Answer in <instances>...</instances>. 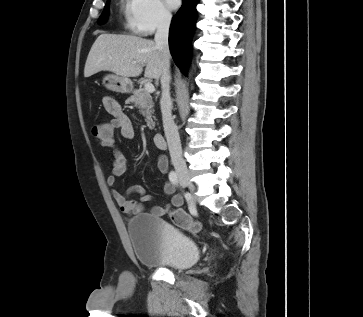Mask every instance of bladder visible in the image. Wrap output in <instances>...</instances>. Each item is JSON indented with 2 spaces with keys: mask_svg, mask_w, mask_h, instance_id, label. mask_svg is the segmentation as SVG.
I'll return each mask as SVG.
<instances>
[{
  "mask_svg": "<svg viewBox=\"0 0 363 317\" xmlns=\"http://www.w3.org/2000/svg\"><path fill=\"white\" fill-rule=\"evenodd\" d=\"M127 233L136 258L144 267L180 271L200 258L197 242L162 218L138 214L129 220Z\"/></svg>",
  "mask_w": 363,
  "mask_h": 317,
  "instance_id": "31cf9c89",
  "label": "bladder"
}]
</instances>
